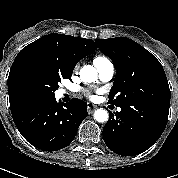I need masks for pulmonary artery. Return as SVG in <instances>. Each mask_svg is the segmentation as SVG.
I'll list each match as a JSON object with an SVG mask.
<instances>
[{"label": "pulmonary artery", "instance_id": "pulmonary-artery-1", "mask_svg": "<svg viewBox=\"0 0 178 178\" xmlns=\"http://www.w3.org/2000/svg\"><path fill=\"white\" fill-rule=\"evenodd\" d=\"M96 68H97L100 79L104 82L110 81L115 74V67H114L113 63L110 61L99 64L96 66ZM62 92H64V91H62ZM118 110H120V109H118Z\"/></svg>", "mask_w": 178, "mask_h": 178}]
</instances>
